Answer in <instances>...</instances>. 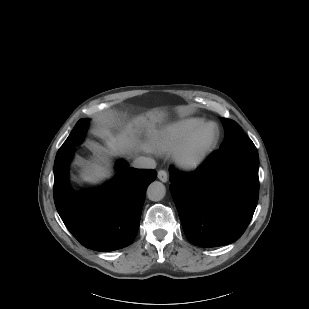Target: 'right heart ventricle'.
I'll list each match as a JSON object with an SVG mask.
<instances>
[{"label": "right heart ventricle", "instance_id": "right-heart-ventricle-1", "mask_svg": "<svg viewBox=\"0 0 309 309\" xmlns=\"http://www.w3.org/2000/svg\"><path fill=\"white\" fill-rule=\"evenodd\" d=\"M203 123L198 118H188L157 130L150 140L151 148L160 154H170L185 137Z\"/></svg>", "mask_w": 309, "mask_h": 309}]
</instances>
